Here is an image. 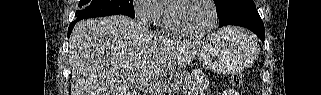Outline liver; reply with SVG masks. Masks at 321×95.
<instances>
[{
    "label": "liver",
    "mask_w": 321,
    "mask_h": 95,
    "mask_svg": "<svg viewBox=\"0 0 321 95\" xmlns=\"http://www.w3.org/2000/svg\"><path fill=\"white\" fill-rule=\"evenodd\" d=\"M205 42L168 39L123 15L80 21L70 38L71 95H130L140 80L186 67Z\"/></svg>",
    "instance_id": "6515ba94"
}]
</instances>
